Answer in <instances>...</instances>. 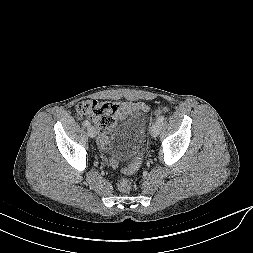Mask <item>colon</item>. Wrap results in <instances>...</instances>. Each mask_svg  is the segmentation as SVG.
Wrapping results in <instances>:
<instances>
[{"instance_id":"obj_1","label":"colon","mask_w":253,"mask_h":253,"mask_svg":"<svg viewBox=\"0 0 253 253\" xmlns=\"http://www.w3.org/2000/svg\"><path fill=\"white\" fill-rule=\"evenodd\" d=\"M76 109L80 115L90 118L101 133H107L116 123L119 105L108 101L86 100L80 102ZM141 162L142 152H138L132 162L123 170V174L136 172ZM117 185L121 192H128L132 187L130 180L126 177H121Z\"/></svg>"}]
</instances>
